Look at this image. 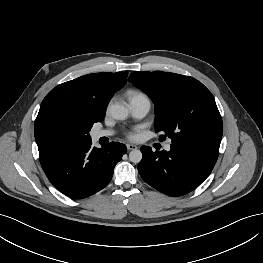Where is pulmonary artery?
I'll list each match as a JSON object with an SVG mask.
<instances>
[{
	"label": "pulmonary artery",
	"instance_id": "obj_1",
	"mask_svg": "<svg viewBox=\"0 0 263 263\" xmlns=\"http://www.w3.org/2000/svg\"><path fill=\"white\" fill-rule=\"evenodd\" d=\"M150 110V101L148 98H140L131 101V111L135 118H143ZM113 132L111 130H95L92 132V138L98 140L102 137L110 136ZM171 149L170 144L165 145V150Z\"/></svg>",
	"mask_w": 263,
	"mask_h": 263
}]
</instances>
